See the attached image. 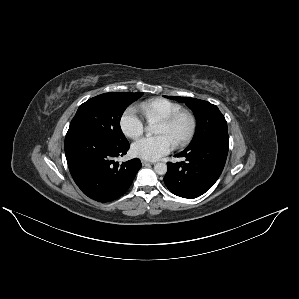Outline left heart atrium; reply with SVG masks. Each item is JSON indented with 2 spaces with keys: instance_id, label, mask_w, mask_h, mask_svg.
<instances>
[{
  "instance_id": "39dd6f15",
  "label": "left heart atrium",
  "mask_w": 299,
  "mask_h": 299,
  "mask_svg": "<svg viewBox=\"0 0 299 299\" xmlns=\"http://www.w3.org/2000/svg\"><path fill=\"white\" fill-rule=\"evenodd\" d=\"M174 143L166 135L147 136L137 140L132 146L135 156L146 160H158L171 152Z\"/></svg>"
}]
</instances>
